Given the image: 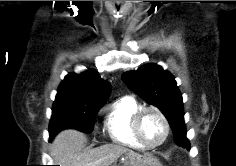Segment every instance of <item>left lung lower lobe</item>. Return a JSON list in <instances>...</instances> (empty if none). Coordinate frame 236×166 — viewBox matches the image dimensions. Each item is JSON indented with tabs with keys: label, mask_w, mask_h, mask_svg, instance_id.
Masks as SVG:
<instances>
[{
	"label": "left lung lower lobe",
	"mask_w": 236,
	"mask_h": 166,
	"mask_svg": "<svg viewBox=\"0 0 236 166\" xmlns=\"http://www.w3.org/2000/svg\"><path fill=\"white\" fill-rule=\"evenodd\" d=\"M173 131L175 143L181 147L189 149V141L186 138V128L182 121L176 123H170Z\"/></svg>",
	"instance_id": "0a47b994"
}]
</instances>
